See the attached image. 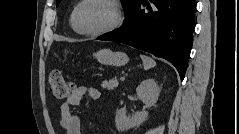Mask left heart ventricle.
Here are the masks:
<instances>
[{"label": "left heart ventricle", "mask_w": 239, "mask_h": 134, "mask_svg": "<svg viewBox=\"0 0 239 134\" xmlns=\"http://www.w3.org/2000/svg\"><path fill=\"white\" fill-rule=\"evenodd\" d=\"M112 9L102 1H88L80 9L78 25L84 31H98L113 21Z\"/></svg>", "instance_id": "1"}]
</instances>
